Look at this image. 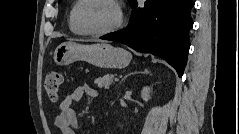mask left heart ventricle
<instances>
[{"label":"left heart ventricle","instance_id":"1","mask_svg":"<svg viewBox=\"0 0 239 134\" xmlns=\"http://www.w3.org/2000/svg\"><path fill=\"white\" fill-rule=\"evenodd\" d=\"M117 20L115 7L105 0L89 2L83 11V21L91 30H104L111 27Z\"/></svg>","mask_w":239,"mask_h":134}]
</instances>
